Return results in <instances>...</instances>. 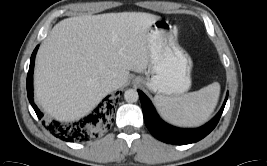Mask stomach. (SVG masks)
I'll return each instance as SVG.
<instances>
[{
    "label": "stomach",
    "instance_id": "stomach-1",
    "mask_svg": "<svg viewBox=\"0 0 267 166\" xmlns=\"http://www.w3.org/2000/svg\"><path fill=\"white\" fill-rule=\"evenodd\" d=\"M150 62L144 83L163 96H178L190 89L192 60L177 42L172 23L157 20L148 31Z\"/></svg>",
    "mask_w": 267,
    "mask_h": 166
}]
</instances>
